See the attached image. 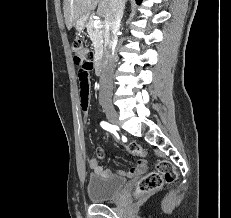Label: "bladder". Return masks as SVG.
<instances>
[{
  "label": "bladder",
  "mask_w": 231,
  "mask_h": 218,
  "mask_svg": "<svg viewBox=\"0 0 231 218\" xmlns=\"http://www.w3.org/2000/svg\"><path fill=\"white\" fill-rule=\"evenodd\" d=\"M126 184L119 176L90 175L87 182V194L91 201L99 203L114 199Z\"/></svg>",
  "instance_id": "obj_1"
}]
</instances>
